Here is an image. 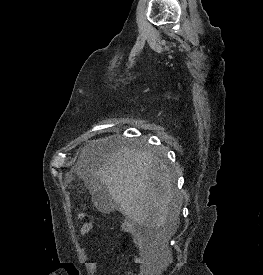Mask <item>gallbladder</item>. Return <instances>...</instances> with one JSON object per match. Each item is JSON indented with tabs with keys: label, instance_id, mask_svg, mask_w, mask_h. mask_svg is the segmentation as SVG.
I'll use <instances>...</instances> for the list:
<instances>
[{
	"label": "gallbladder",
	"instance_id": "bac80fb5",
	"mask_svg": "<svg viewBox=\"0 0 263 275\" xmlns=\"http://www.w3.org/2000/svg\"><path fill=\"white\" fill-rule=\"evenodd\" d=\"M92 202L96 209L104 214H109L117 208L114 199L104 186L92 193Z\"/></svg>",
	"mask_w": 263,
	"mask_h": 275
}]
</instances>
